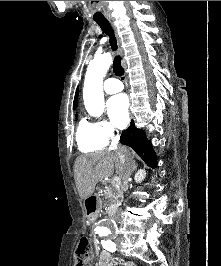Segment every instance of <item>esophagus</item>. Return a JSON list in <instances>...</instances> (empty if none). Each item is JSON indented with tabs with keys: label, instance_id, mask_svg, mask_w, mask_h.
<instances>
[{
	"label": "esophagus",
	"instance_id": "34e87169",
	"mask_svg": "<svg viewBox=\"0 0 221 266\" xmlns=\"http://www.w3.org/2000/svg\"><path fill=\"white\" fill-rule=\"evenodd\" d=\"M109 22H110V24H111V26H112V28H113V30H114V32H115V36H116V38H117L118 53H119L120 55H123V50H122V48H121V40H120V38L118 37L117 29H116V27L114 26V22H113V20H109Z\"/></svg>",
	"mask_w": 221,
	"mask_h": 266
}]
</instances>
